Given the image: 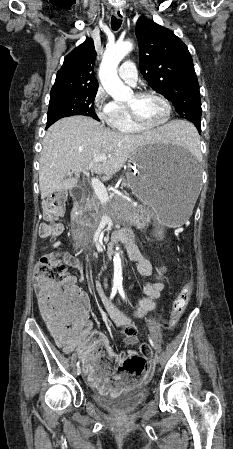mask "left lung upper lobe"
Returning a JSON list of instances; mask_svg holds the SVG:
<instances>
[{"instance_id": "1", "label": "left lung upper lobe", "mask_w": 233, "mask_h": 449, "mask_svg": "<svg viewBox=\"0 0 233 449\" xmlns=\"http://www.w3.org/2000/svg\"><path fill=\"white\" fill-rule=\"evenodd\" d=\"M136 37L145 80L172 101L181 117L201 130L199 84L186 45L171 30L144 16L137 21Z\"/></svg>"}]
</instances>
